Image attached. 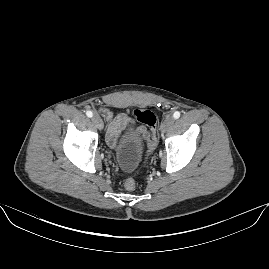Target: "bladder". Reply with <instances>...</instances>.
Returning a JSON list of instances; mask_svg holds the SVG:
<instances>
[{
    "label": "bladder",
    "instance_id": "obj_1",
    "mask_svg": "<svg viewBox=\"0 0 269 269\" xmlns=\"http://www.w3.org/2000/svg\"><path fill=\"white\" fill-rule=\"evenodd\" d=\"M144 155L140 139L134 133L127 134L119 143L115 153L118 167L123 171H134Z\"/></svg>",
    "mask_w": 269,
    "mask_h": 269
}]
</instances>
